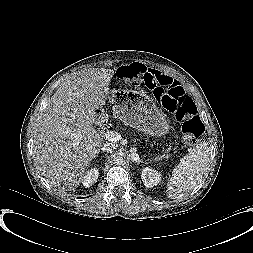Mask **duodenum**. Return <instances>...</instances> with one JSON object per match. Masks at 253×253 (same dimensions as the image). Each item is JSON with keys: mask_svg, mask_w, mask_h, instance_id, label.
I'll return each mask as SVG.
<instances>
[{"mask_svg": "<svg viewBox=\"0 0 253 253\" xmlns=\"http://www.w3.org/2000/svg\"><path fill=\"white\" fill-rule=\"evenodd\" d=\"M97 121L100 122V121H101V118H99Z\"/></svg>", "mask_w": 253, "mask_h": 253, "instance_id": "obj_1", "label": "duodenum"}]
</instances>
